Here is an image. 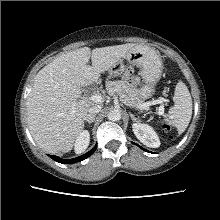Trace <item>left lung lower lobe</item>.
I'll return each mask as SVG.
<instances>
[{
	"label": "left lung lower lobe",
	"mask_w": 220,
	"mask_h": 220,
	"mask_svg": "<svg viewBox=\"0 0 220 220\" xmlns=\"http://www.w3.org/2000/svg\"><path fill=\"white\" fill-rule=\"evenodd\" d=\"M135 145H137V144H135ZM137 146H139V145H137ZM140 147V146H139ZM141 149H143V150H145L144 148H142V147H140ZM145 151H147V150H145Z\"/></svg>",
	"instance_id": "obj_1"
}]
</instances>
